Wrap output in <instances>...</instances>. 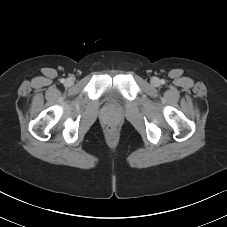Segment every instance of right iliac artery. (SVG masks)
Returning <instances> with one entry per match:
<instances>
[{
    "label": "right iliac artery",
    "mask_w": 227,
    "mask_h": 227,
    "mask_svg": "<svg viewBox=\"0 0 227 227\" xmlns=\"http://www.w3.org/2000/svg\"><path fill=\"white\" fill-rule=\"evenodd\" d=\"M60 82H61V83H64V82H65V79H61Z\"/></svg>",
    "instance_id": "1"
}]
</instances>
